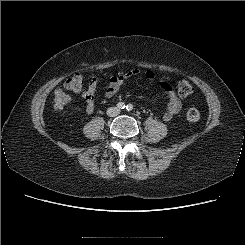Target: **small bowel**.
I'll list each match as a JSON object with an SVG mask.
<instances>
[{
	"mask_svg": "<svg viewBox=\"0 0 245 245\" xmlns=\"http://www.w3.org/2000/svg\"><path fill=\"white\" fill-rule=\"evenodd\" d=\"M139 74L137 69H132L124 73L113 75L108 83V86L105 90V97L112 98L118 92L122 84L129 78L135 77ZM146 77L149 80L155 79V74L152 71L146 73ZM99 79L97 77L93 78L88 86V88L82 93V97L86 103V112L91 115L95 111V95L97 90ZM160 86L165 91L168 104L166 111L163 115L164 121H170L176 114L179 113L182 107V102L178 94L176 93L172 84L166 80L159 81Z\"/></svg>",
	"mask_w": 245,
	"mask_h": 245,
	"instance_id": "small-bowel-1",
	"label": "small bowel"
}]
</instances>
